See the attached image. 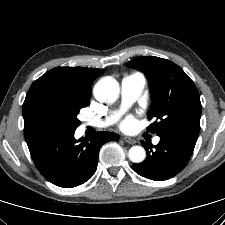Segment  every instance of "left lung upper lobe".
<instances>
[{
    "instance_id": "1",
    "label": "left lung upper lobe",
    "mask_w": 225,
    "mask_h": 225,
    "mask_svg": "<svg viewBox=\"0 0 225 225\" xmlns=\"http://www.w3.org/2000/svg\"><path fill=\"white\" fill-rule=\"evenodd\" d=\"M126 65L143 71L148 78L152 103L147 116L159 120L148 129L158 136L172 135L196 143L201 102L185 72L175 63L155 56L136 58Z\"/></svg>"
}]
</instances>
